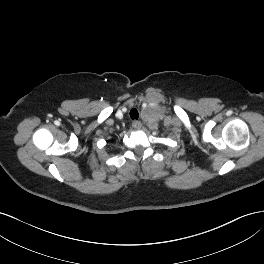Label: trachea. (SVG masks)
<instances>
[{
    "label": "trachea",
    "instance_id": "obj_1",
    "mask_svg": "<svg viewBox=\"0 0 264 264\" xmlns=\"http://www.w3.org/2000/svg\"><path fill=\"white\" fill-rule=\"evenodd\" d=\"M130 117H131L132 120H134V119L137 120L138 119L139 114H138L137 109H135V108L131 109V111H130Z\"/></svg>",
    "mask_w": 264,
    "mask_h": 264
}]
</instances>
